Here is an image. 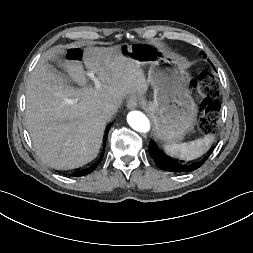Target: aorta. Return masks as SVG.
Here are the masks:
<instances>
[{
  "instance_id": "1",
  "label": "aorta",
  "mask_w": 253,
  "mask_h": 253,
  "mask_svg": "<svg viewBox=\"0 0 253 253\" xmlns=\"http://www.w3.org/2000/svg\"><path fill=\"white\" fill-rule=\"evenodd\" d=\"M128 124L136 131L146 133L150 130L149 119L140 111H131L127 115Z\"/></svg>"
}]
</instances>
